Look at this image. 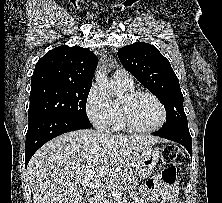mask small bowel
<instances>
[{
    "label": "small bowel",
    "instance_id": "c3829d8e",
    "mask_svg": "<svg viewBox=\"0 0 222 203\" xmlns=\"http://www.w3.org/2000/svg\"><path fill=\"white\" fill-rule=\"evenodd\" d=\"M177 195V184H166L159 177L148 181L137 192L138 199H145L152 203H178ZM133 203H139V201L136 200Z\"/></svg>",
    "mask_w": 222,
    "mask_h": 203
}]
</instances>
